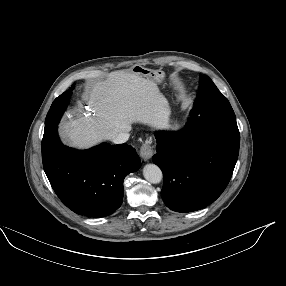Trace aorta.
<instances>
[{
  "label": "aorta",
  "mask_w": 286,
  "mask_h": 286,
  "mask_svg": "<svg viewBox=\"0 0 286 286\" xmlns=\"http://www.w3.org/2000/svg\"><path fill=\"white\" fill-rule=\"evenodd\" d=\"M144 178L153 184L160 183L163 175L161 169L155 164H147L143 169Z\"/></svg>",
  "instance_id": "aorta-1"
}]
</instances>
